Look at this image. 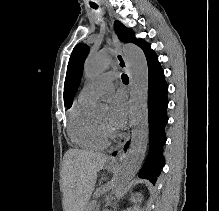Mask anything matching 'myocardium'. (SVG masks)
<instances>
[{
  "label": "myocardium",
  "instance_id": "f54148a6",
  "mask_svg": "<svg viewBox=\"0 0 219 211\" xmlns=\"http://www.w3.org/2000/svg\"><path fill=\"white\" fill-rule=\"evenodd\" d=\"M97 123L104 134H106V135L112 134V132L107 124H102L99 121H97Z\"/></svg>",
  "mask_w": 219,
  "mask_h": 211
}]
</instances>
